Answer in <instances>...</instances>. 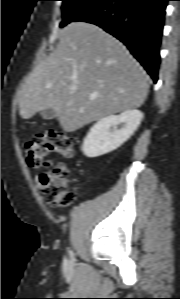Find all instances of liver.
I'll use <instances>...</instances> for the list:
<instances>
[{"mask_svg": "<svg viewBox=\"0 0 180 299\" xmlns=\"http://www.w3.org/2000/svg\"><path fill=\"white\" fill-rule=\"evenodd\" d=\"M148 89L145 71L120 41L93 24L73 22L20 89V116L53 108L63 130L74 132L140 107Z\"/></svg>", "mask_w": 180, "mask_h": 299, "instance_id": "liver-1", "label": "liver"}]
</instances>
